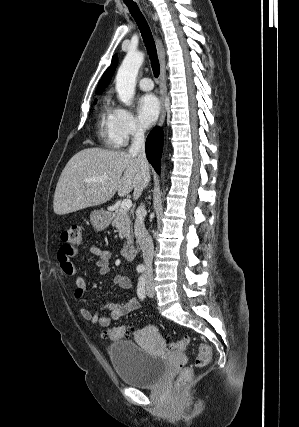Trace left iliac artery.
Returning <instances> with one entry per match:
<instances>
[{
	"mask_svg": "<svg viewBox=\"0 0 299 427\" xmlns=\"http://www.w3.org/2000/svg\"><path fill=\"white\" fill-rule=\"evenodd\" d=\"M137 294L139 298L143 299L145 297V278L140 276L137 286Z\"/></svg>",
	"mask_w": 299,
	"mask_h": 427,
	"instance_id": "left-iliac-artery-1",
	"label": "left iliac artery"
}]
</instances>
